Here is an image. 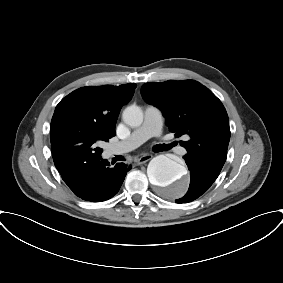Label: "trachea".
<instances>
[{
  "label": "trachea",
  "instance_id": "obj_1",
  "mask_svg": "<svg viewBox=\"0 0 283 283\" xmlns=\"http://www.w3.org/2000/svg\"><path fill=\"white\" fill-rule=\"evenodd\" d=\"M173 144L171 145H165V144H159L157 145V148L159 151H167L172 147Z\"/></svg>",
  "mask_w": 283,
  "mask_h": 283
}]
</instances>
